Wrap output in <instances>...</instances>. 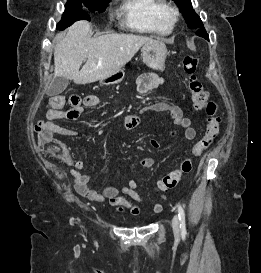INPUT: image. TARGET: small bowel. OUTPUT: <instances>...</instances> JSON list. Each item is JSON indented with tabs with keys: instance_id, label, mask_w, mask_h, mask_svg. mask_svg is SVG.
Here are the masks:
<instances>
[{
	"instance_id": "small-bowel-1",
	"label": "small bowel",
	"mask_w": 261,
	"mask_h": 273,
	"mask_svg": "<svg viewBox=\"0 0 261 273\" xmlns=\"http://www.w3.org/2000/svg\"><path fill=\"white\" fill-rule=\"evenodd\" d=\"M163 82L164 80L157 74L146 73L139 78L138 88L141 93H147L163 84ZM84 105L87 107H97L100 105V100L96 96L89 95L85 97ZM145 110L165 112L172 118L175 126L184 130V137L186 140L192 141L195 139L196 131L192 127L191 120L184 115L183 109L179 106L166 102H156L147 107ZM46 117L48 121L45 123L52 133L66 137L77 136L76 131L67 127L59 126L52 122L53 120H71L66 118V112L62 109L50 107L46 113ZM122 122L125 129L132 130L139 124V118L136 115H124ZM149 143L153 148L157 149L160 147V144L155 139H150ZM62 157L65 163L72 167L71 175L74 180L75 189L80 195L91 201L103 202L108 200L110 206L117 211H123L125 208H127L133 215H138L141 212L140 207L137 204L127 200L126 198V196H128L136 203H143V199L137 192V182L135 180H129L127 185L121 189L113 186H104L101 193H99L95 189L88 186L90 176L79 172V170L83 169L84 167L83 160H75L65 145H63ZM139 165L149 172L154 166V161L150 157H142L139 159ZM151 209L154 213H159L162 211V206L161 204L156 203L151 206Z\"/></svg>"
}]
</instances>
